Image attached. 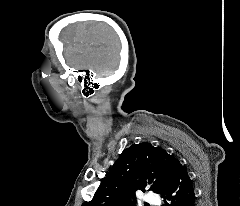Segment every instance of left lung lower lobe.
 <instances>
[{
  "label": "left lung lower lobe",
  "mask_w": 240,
  "mask_h": 206,
  "mask_svg": "<svg viewBox=\"0 0 240 206\" xmlns=\"http://www.w3.org/2000/svg\"><path fill=\"white\" fill-rule=\"evenodd\" d=\"M164 198L162 206H195V192L187 171L177 161L174 172L165 192L161 195Z\"/></svg>",
  "instance_id": "1"
}]
</instances>
